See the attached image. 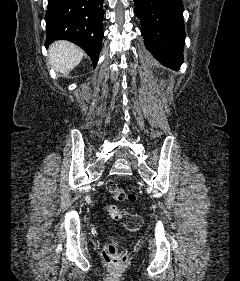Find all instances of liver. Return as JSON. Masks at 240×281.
Instances as JSON below:
<instances>
[{"instance_id": "1", "label": "liver", "mask_w": 240, "mask_h": 281, "mask_svg": "<svg viewBox=\"0 0 240 281\" xmlns=\"http://www.w3.org/2000/svg\"><path fill=\"white\" fill-rule=\"evenodd\" d=\"M84 52L69 41H56L49 47V63L60 73H67L82 60Z\"/></svg>"}]
</instances>
